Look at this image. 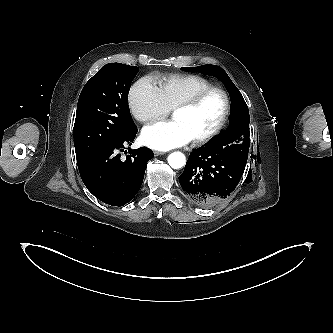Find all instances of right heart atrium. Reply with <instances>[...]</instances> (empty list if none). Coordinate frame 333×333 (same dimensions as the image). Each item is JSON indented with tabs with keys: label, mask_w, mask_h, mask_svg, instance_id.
<instances>
[{
	"label": "right heart atrium",
	"mask_w": 333,
	"mask_h": 333,
	"mask_svg": "<svg viewBox=\"0 0 333 333\" xmlns=\"http://www.w3.org/2000/svg\"><path fill=\"white\" fill-rule=\"evenodd\" d=\"M128 104L132 116L141 123L164 118L170 111L158 87L147 77L132 86Z\"/></svg>",
	"instance_id": "right-heart-atrium-1"
}]
</instances>
